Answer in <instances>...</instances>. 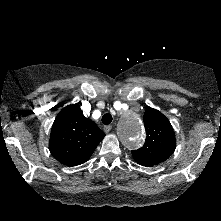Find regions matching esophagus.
Returning <instances> with one entry per match:
<instances>
[{"label": "esophagus", "mask_w": 221, "mask_h": 221, "mask_svg": "<svg viewBox=\"0 0 221 221\" xmlns=\"http://www.w3.org/2000/svg\"><path fill=\"white\" fill-rule=\"evenodd\" d=\"M111 129H112V126H111V125H105V126H104V131H105L106 133H109V132L111 131Z\"/></svg>", "instance_id": "esophagus-1"}]
</instances>
